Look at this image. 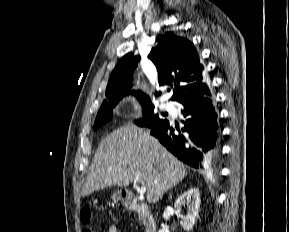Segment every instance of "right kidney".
Instances as JSON below:
<instances>
[{"instance_id":"ca27d5eb","label":"right kidney","mask_w":289,"mask_h":232,"mask_svg":"<svg viewBox=\"0 0 289 232\" xmlns=\"http://www.w3.org/2000/svg\"><path fill=\"white\" fill-rule=\"evenodd\" d=\"M187 206V214L183 219V229L191 231L195 224L196 217L200 208V192L198 188H190L183 192L175 201L174 207L181 210L182 206ZM159 232H170L167 227H162Z\"/></svg>"}]
</instances>
